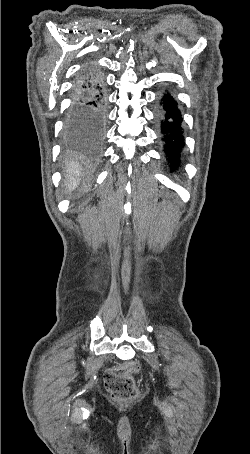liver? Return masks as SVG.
<instances>
[{
  "mask_svg": "<svg viewBox=\"0 0 250 454\" xmlns=\"http://www.w3.org/2000/svg\"><path fill=\"white\" fill-rule=\"evenodd\" d=\"M81 167L78 163H68L65 170V178L67 180V189L69 192L76 189L81 180Z\"/></svg>",
  "mask_w": 250,
  "mask_h": 454,
  "instance_id": "6515ba94",
  "label": "liver"
}]
</instances>
